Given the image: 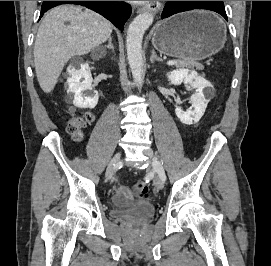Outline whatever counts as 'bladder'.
Returning <instances> with one entry per match:
<instances>
[{
  "label": "bladder",
  "instance_id": "31cf9c89",
  "mask_svg": "<svg viewBox=\"0 0 271 266\" xmlns=\"http://www.w3.org/2000/svg\"><path fill=\"white\" fill-rule=\"evenodd\" d=\"M112 212L131 222H144L155 213V206L147 201L138 202L126 209L114 207Z\"/></svg>",
  "mask_w": 271,
  "mask_h": 266
}]
</instances>
